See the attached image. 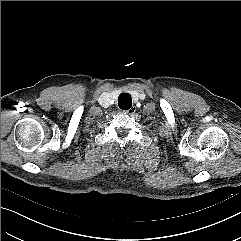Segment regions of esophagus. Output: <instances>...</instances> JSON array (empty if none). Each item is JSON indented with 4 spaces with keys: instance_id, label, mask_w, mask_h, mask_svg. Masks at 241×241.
Returning <instances> with one entry per match:
<instances>
[{
    "instance_id": "34e87169",
    "label": "esophagus",
    "mask_w": 241,
    "mask_h": 241,
    "mask_svg": "<svg viewBox=\"0 0 241 241\" xmlns=\"http://www.w3.org/2000/svg\"><path fill=\"white\" fill-rule=\"evenodd\" d=\"M136 112V107L132 106L130 109L122 111V113L124 114H129V115H133Z\"/></svg>"
}]
</instances>
